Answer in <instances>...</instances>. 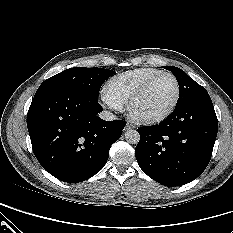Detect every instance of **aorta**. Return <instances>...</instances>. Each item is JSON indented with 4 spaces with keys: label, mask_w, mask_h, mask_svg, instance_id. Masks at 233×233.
<instances>
[{
    "label": "aorta",
    "mask_w": 233,
    "mask_h": 233,
    "mask_svg": "<svg viewBox=\"0 0 233 233\" xmlns=\"http://www.w3.org/2000/svg\"><path fill=\"white\" fill-rule=\"evenodd\" d=\"M125 139L130 144H137L140 141V134L136 130L129 129L125 132Z\"/></svg>",
    "instance_id": "762f6f07"
}]
</instances>
